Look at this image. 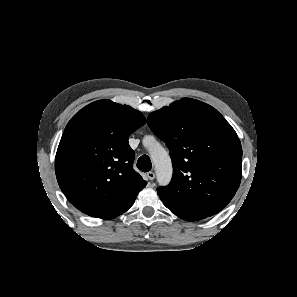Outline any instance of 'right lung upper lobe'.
I'll return each instance as SVG.
<instances>
[{"instance_id": "obj_1", "label": "right lung upper lobe", "mask_w": 297, "mask_h": 297, "mask_svg": "<svg viewBox=\"0 0 297 297\" xmlns=\"http://www.w3.org/2000/svg\"><path fill=\"white\" fill-rule=\"evenodd\" d=\"M141 112L110 100L82 108L67 124L55 158L58 184L83 213L112 219L127 211L147 182L133 169L128 137Z\"/></svg>"}]
</instances>
